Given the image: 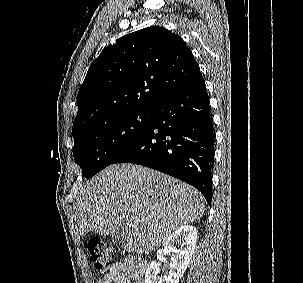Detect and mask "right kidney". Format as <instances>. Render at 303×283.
I'll return each instance as SVG.
<instances>
[{
  "instance_id": "obj_1",
  "label": "right kidney",
  "mask_w": 303,
  "mask_h": 283,
  "mask_svg": "<svg viewBox=\"0 0 303 283\" xmlns=\"http://www.w3.org/2000/svg\"><path fill=\"white\" fill-rule=\"evenodd\" d=\"M197 229L191 225H183L164 242V252L173 253L172 264L167 276H159V264L152 261L147 267L145 283H179L183 277L196 247ZM180 243L181 248L176 249L175 244Z\"/></svg>"
}]
</instances>
